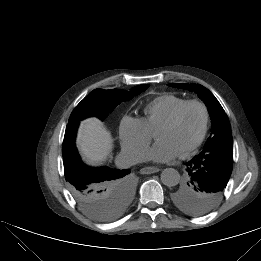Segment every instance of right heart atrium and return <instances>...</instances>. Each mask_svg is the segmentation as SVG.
Masks as SVG:
<instances>
[{"mask_svg": "<svg viewBox=\"0 0 261 261\" xmlns=\"http://www.w3.org/2000/svg\"><path fill=\"white\" fill-rule=\"evenodd\" d=\"M124 152L132 159H141L152 141V133L140 118L125 116L119 126Z\"/></svg>", "mask_w": 261, "mask_h": 261, "instance_id": "obj_1", "label": "right heart atrium"}]
</instances>
